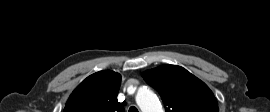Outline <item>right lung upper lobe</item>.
Masks as SVG:
<instances>
[{"label":"right lung upper lobe","instance_id":"1","mask_svg":"<svg viewBox=\"0 0 270 112\" xmlns=\"http://www.w3.org/2000/svg\"><path fill=\"white\" fill-rule=\"evenodd\" d=\"M121 75L99 71L87 77L70 95L64 112H125L117 94Z\"/></svg>","mask_w":270,"mask_h":112}]
</instances>
